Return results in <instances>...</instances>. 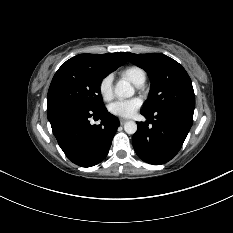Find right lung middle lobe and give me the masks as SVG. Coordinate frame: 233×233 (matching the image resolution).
<instances>
[{"mask_svg":"<svg viewBox=\"0 0 233 233\" xmlns=\"http://www.w3.org/2000/svg\"><path fill=\"white\" fill-rule=\"evenodd\" d=\"M112 70L81 60H67L55 73L47 104L73 103L91 110L104 108L100 84Z\"/></svg>","mask_w":233,"mask_h":233,"instance_id":"1","label":"right lung middle lobe"}]
</instances>
